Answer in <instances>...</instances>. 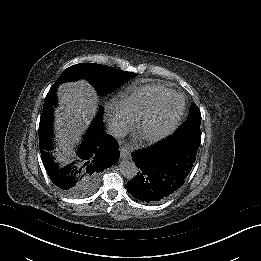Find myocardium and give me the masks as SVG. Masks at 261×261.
<instances>
[{
    "mask_svg": "<svg viewBox=\"0 0 261 261\" xmlns=\"http://www.w3.org/2000/svg\"><path fill=\"white\" fill-rule=\"evenodd\" d=\"M174 97H180L182 99V107H181V110H180L179 114L177 115V117L170 124H168L166 127L162 128L161 130H158L156 132H145L143 130V127L147 123L148 118L151 115H153L154 113L159 112L163 108L165 103ZM185 106H186V103H185L184 95L179 92H173L170 96H168L167 98H165L163 100L161 105L156 110L142 116L137 121V123L135 124L134 129H133V132H134V135H135L137 141L140 144L154 143V142H158V141L166 138L167 136H169L178 127V125L182 119V116L184 114Z\"/></svg>",
    "mask_w": 261,
    "mask_h": 261,
    "instance_id": "myocardium-1",
    "label": "myocardium"
}]
</instances>
